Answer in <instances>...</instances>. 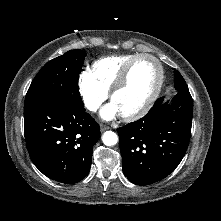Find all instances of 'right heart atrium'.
Returning <instances> with one entry per match:
<instances>
[{
  "instance_id": "obj_1",
  "label": "right heart atrium",
  "mask_w": 221,
  "mask_h": 221,
  "mask_svg": "<svg viewBox=\"0 0 221 221\" xmlns=\"http://www.w3.org/2000/svg\"><path fill=\"white\" fill-rule=\"evenodd\" d=\"M78 89L85 107L92 112L98 110L108 97V92L95 81L88 71L80 73Z\"/></svg>"
}]
</instances>
